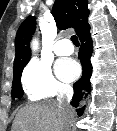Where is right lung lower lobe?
I'll return each mask as SVG.
<instances>
[{
  "label": "right lung lower lobe",
  "mask_w": 117,
  "mask_h": 131,
  "mask_svg": "<svg viewBox=\"0 0 117 131\" xmlns=\"http://www.w3.org/2000/svg\"><path fill=\"white\" fill-rule=\"evenodd\" d=\"M81 42V48L79 50V58L83 67V74L82 77L73 85L74 89V96L71 104L74 107H78L79 100L81 99V95L84 94L82 91L90 92L91 84H90V77L92 74V67H91V54H92V39L90 33H86L79 37ZM84 108L77 109L78 115L81 116Z\"/></svg>",
  "instance_id": "right-lung-lower-lobe-1"
}]
</instances>
